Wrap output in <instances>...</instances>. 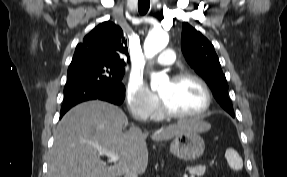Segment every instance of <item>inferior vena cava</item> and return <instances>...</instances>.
Segmentation results:
<instances>
[{"instance_id": "1", "label": "inferior vena cava", "mask_w": 287, "mask_h": 177, "mask_svg": "<svg viewBox=\"0 0 287 177\" xmlns=\"http://www.w3.org/2000/svg\"><path fill=\"white\" fill-rule=\"evenodd\" d=\"M124 177H138V172L135 168L130 166L125 170Z\"/></svg>"}]
</instances>
